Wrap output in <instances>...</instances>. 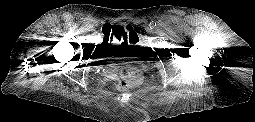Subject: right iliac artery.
I'll return each mask as SVG.
<instances>
[{"label":"right iliac artery","instance_id":"right-iliac-artery-1","mask_svg":"<svg viewBox=\"0 0 255 122\" xmlns=\"http://www.w3.org/2000/svg\"><path fill=\"white\" fill-rule=\"evenodd\" d=\"M91 28H92L91 25H88V24H87V25L85 26V30H87V31H90Z\"/></svg>","mask_w":255,"mask_h":122}]
</instances>
